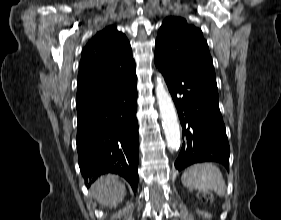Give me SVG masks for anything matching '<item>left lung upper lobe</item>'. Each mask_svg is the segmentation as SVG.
I'll list each match as a JSON object with an SVG mask.
<instances>
[{
	"instance_id": "left-lung-upper-lobe-1",
	"label": "left lung upper lobe",
	"mask_w": 281,
	"mask_h": 220,
	"mask_svg": "<svg viewBox=\"0 0 281 220\" xmlns=\"http://www.w3.org/2000/svg\"><path fill=\"white\" fill-rule=\"evenodd\" d=\"M155 60L181 64L216 83L212 58L200 29L180 17L166 18L155 44Z\"/></svg>"
}]
</instances>
